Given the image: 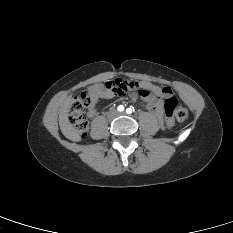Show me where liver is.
<instances>
[{
	"label": "liver",
	"mask_w": 233,
	"mask_h": 233,
	"mask_svg": "<svg viewBox=\"0 0 233 233\" xmlns=\"http://www.w3.org/2000/svg\"><path fill=\"white\" fill-rule=\"evenodd\" d=\"M71 106V96L66 97L60 104L59 126L64 136L69 137L72 134L73 128L68 120V112Z\"/></svg>",
	"instance_id": "6515ba94"
}]
</instances>
